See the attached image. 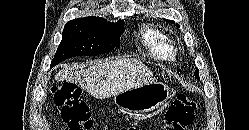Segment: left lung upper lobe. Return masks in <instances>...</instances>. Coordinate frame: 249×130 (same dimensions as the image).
<instances>
[{"instance_id":"obj_1","label":"left lung upper lobe","mask_w":249,"mask_h":130,"mask_svg":"<svg viewBox=\"0 0 249 130\" xmlns=\"http://www.w3.org/2000/svg\"><path fill=\"white\" fill-rule=\"evenodd\" d=\"M166 21L171 22V23L174 22V21H172V20H166ZM177 26L180 27L178 24H177ZM194 74H195V77H196L197 79H199V70H198V69L195 71Z\"/></svg>"}]
</instances>
